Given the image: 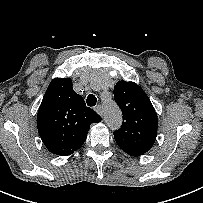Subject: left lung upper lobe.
Wrapping results in <instances>:
<instances>
[{
  "mask_svg": "<svg viewBox=\"0 0 203 203\" xmlns=\"http://www.w3.org/2000/svg\"><path fill=\"white\" fill-rule=\"evenodd\" d=\"M114 99L123 114V123L114 132L117 145L131 156L146 153L157 136L158 118L153 105L134 82L119 81L114 87Z\"/></svg>",
  "mask_w": 203,
  "mask_h": 203,
  "instance_id": "1",
  "label": "left lung upper lobe"
}]
</instances>
